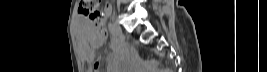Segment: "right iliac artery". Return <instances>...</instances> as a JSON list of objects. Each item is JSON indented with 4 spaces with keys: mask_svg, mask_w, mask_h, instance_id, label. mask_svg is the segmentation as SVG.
Listing matches in <instances>:
<instances>
[{
    "mask_svg": "<svg viewBox=\"0 0 267 72\" xmlns=\"http://www.w3.org/2000/svg\"><path fill=\"white\" fill-rule=\"evenodd\" d=\"M109 30H110L112 36H115V35H116V33H115V31H114L113 24H111V23L109 24Z\"/></svg>",
    "mask_w": 267,
    "mask_h": 72,
    "instance_id": "right-iliac-artery-1",
    "label": "right iliac artery"
}]
</instances>
